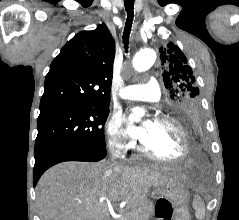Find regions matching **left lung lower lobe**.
Here are the masks:
<instances>
[{
  "mask_svg": "<svg viewBox=\"0 0 239 220\" xmlns=\"http://www.w3.org/2000/svg\"><path fill=\"white\" fill-rule=\"evenodd\" d=\"M181 125L187 129L194 148V158L199 160V150H202L201 133L203 122L200 110H187L176 116Z\"/></svg>",
  "mask_w": 239,
  "mask_h": 220,
  "instance_id": "1",
  "label": "left lung lower lobe"
}]
</instances>
